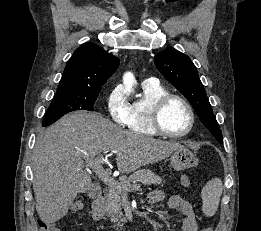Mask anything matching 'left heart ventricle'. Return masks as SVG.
<instances>
[{
    "instance_id": "b2bd125f",
    "label": "left heart ventricle",
    "mask_w": 261,
    "mask_h": 231,
    "mask_svg": "<svg viewBox=\"0 0 261 231\" xmlns=\"http://www.w3.org/2000/svg\"><path fill=\"white\" fill-rule=\"evenodd\" d=\"M162 124L171 133H180L188 127V111L181 101L173 99L167 103L162 112Z\"/></svg>"
}]
</instances>
